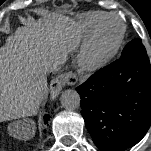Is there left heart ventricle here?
<instances>
[{"label":"left heart ventricle","instance_id":"1","mask_svg":"<svg viewBox=\"0 0 151 151\" xmlns=\"http://www.w3.org/2000/svg\"><path fill=\"white\" fill-rule=\"evenodd\" d=\"M120 23L116 19H109L105 22L98 41V50H107L117 38L120 32Z\"/></svg>","mask_w":151,"mask_h":151}]
</instances>
